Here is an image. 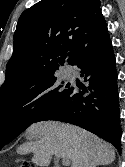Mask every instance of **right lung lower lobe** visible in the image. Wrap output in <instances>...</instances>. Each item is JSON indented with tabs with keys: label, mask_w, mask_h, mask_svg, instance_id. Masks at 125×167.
I'll return each instance as SVG.
<instances>
[{
	"label": "right lung lower lobe",
	"mask_w": 125,
	"mask_h": 167,
	"mask_svg": "<svg viewBox=\"0 0 125 167\" xmlns=\"http://www.w3.org/2000/svg\"><path fill=\"white\" fill-rule=\"evenodd\" d=\"M76 65L84 81L89 82L88 87H71L64 100L49 105L34 122L57 120L77 125L108 141L121 153L117 71L107 28L81 51Z\"/></svg>",
	"instance_id": "obj_1"
}]
</instances>
